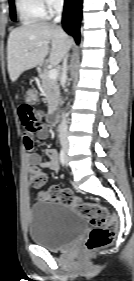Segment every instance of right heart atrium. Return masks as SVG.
I'll use <instances>...</instances> for the list:
<instances>
[{"label":"right heart atrium","mask_w":134,"mask_h":281,"mask_svg":"<svg viewBox=\"0 0 134 281\" xmlns=\"http://www.w3.org/2000/svg\"><path fill=\"white\" fill-rule=\"evenodd\" d=\"M41 2L47 13H53L63 4V0H41Z\"/></svg>","instance_id":"right-heart-atrium-1"}]
</instances>
